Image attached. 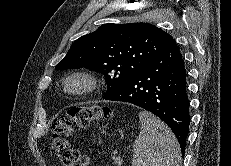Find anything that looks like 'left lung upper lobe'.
<instances>
[{"mask_svg":"<svg viewBox=\"0 0 231 166\" xmlns=\"http://www.w3.org/2000/svg\"><path fill=\"white\" fill-rule=\"evenodd\" d=\"M172 39L149 23L103 24L78 38L56 69L86 67L102 73L107 97L157 57Z\"/></svg>","mask_w":231,"mask_h":166,"instance_id":"5c2ea615","label":"left lung upper lobe"}]
</instances>
